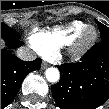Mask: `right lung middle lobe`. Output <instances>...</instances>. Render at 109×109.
<instances>
[{
	"label": "right lung middle lobe",
	"mask_w": 109,
	"mask_h": 109,
	"mask_svg": "<svg viewBox=\"0 0 109 109\" xmlns=\"http://www.w3.org/2000/svg\"><path fill=\"white\" fill-rule=\"evenodd\" d=\"M1 34L7 35L15 39H20V34L16 30H14L13 28L9 27L8 25L2 22H1Z\"/></svg>",
	"instance_id": "right-lung-middle-lobe-1"
}]
</instances>
